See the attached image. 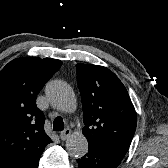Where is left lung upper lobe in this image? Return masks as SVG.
<instances>
[{
  "label": "left lung upper lobe",
  "instance_id": "left-lung-upper-lobe-1",
  "mask_svg": "<svg viewBox=\"0 0 168 168\" xmlns=\"http://www.w3.org/2000/svg\"><path fill=\"white\" fill-rule=\"evenodd\" d=\"M84 128L89 145L123 159L136 130L137 116L126 88L108 68L77 64Z\"/></svg>",
  "mask_w": 168,
  "mask_h": 168
}]
</instances>
